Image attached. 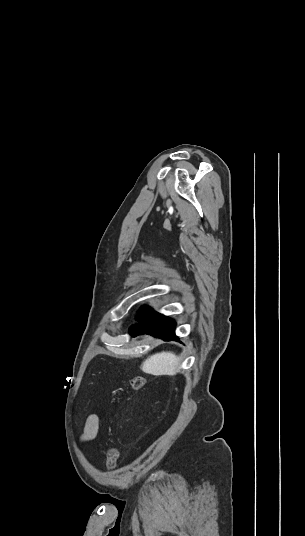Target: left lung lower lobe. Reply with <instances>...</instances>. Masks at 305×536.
I'll use <instances>...</instances> for the list:
<instances>
[{"mask_svg":"<svg viewBox=\"0 0 305 536\" xmlns=\"http://www.w3.org/2000/svg\"><path fill=\"white\" fill-rule=\"evenodd\" d=\"M140 319L139 323L129 328V333L132 336L149 334L162 338L164 341L178 340L175 335V322L172 319L151 308H145Z\"/></svg>","mask_w":305,"mask_h":536,"instance_id":"left-lung-lower-lobe-1","label":"left lung lower lobe"}]
</instances>
